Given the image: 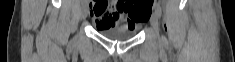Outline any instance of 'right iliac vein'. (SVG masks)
Listing matches in <instances>:
<instances>
[{"mask_svg": "<svg viewBox=\"0 0 235 62\" xmlns=\"http://www.w3.org/2000/svg\"><path fill=\"white\" fill-rule=\"evenodd\" d=\"M88 15V7L86 5L82 6V18L85 19Z\"/></svg>", "mask_w": 235, "mask_h": 62, "instance_id": "obj_1", "label": "right iliac vein"}]
</instances>
